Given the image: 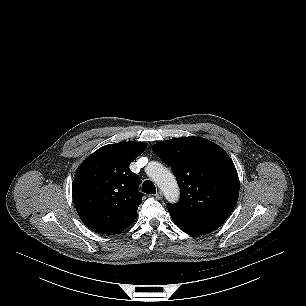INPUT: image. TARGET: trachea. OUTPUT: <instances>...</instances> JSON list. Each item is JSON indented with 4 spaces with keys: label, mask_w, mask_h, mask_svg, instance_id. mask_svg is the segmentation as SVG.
Segmentation results:
<instances>
[{
    "label": "trachea",
    "mask_w": 306,
    "mask_h": 306,
    "mask_svg": "<svg viewBox=\"0 0 306 306\" xmlns=\"http://www.w3.org/2000/svg\"><path fill=\"white\" fill-rule=\"evenodd\" d=\"M142 192L147 194H156V188L153 182H151L150 180H146L142 184Z\"/></svg>",
    "instance_id": "1"
}]
</instances>
